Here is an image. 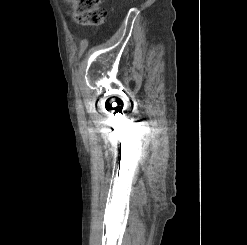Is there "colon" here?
Wrapping results in <instances>:
<instances>
[{
    "label": "colon",
    "instance_id": "5ec220e1",
    "mask_svg": "<svg viewBox=\"0 0 247 245\" xmlns=\"http://www.w3.org/2000/svg\"><path fill=\"white\" fill-rule=\"evenodd\" d=\"M72 6L75 21L83 25H99L106 18V11L100 6V0H65Z\"/></svg>",
    "mask_w": 247,
    "mask_h": 245
}]
</instances>
